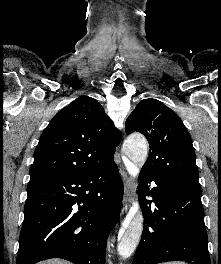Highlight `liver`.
Wrapping results in <instances>:
<instances>
[{"instance_id":"6515ba94","label":"liver","mask_w":221,"mask_h":264,"mask_svg":"<svg viewBox=\"0 0 221 264\" xmlns=\"http://www.w3.org/2000/svg\"><path fill=\"white\" fill-rule=\"evenodd\" d=\"M37 264H72V263L62 260V259H49V260L42 261Z\"/></svg>"}]
</instances>
